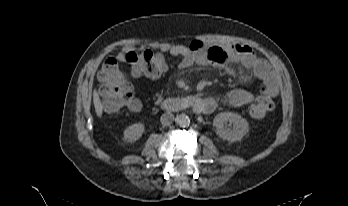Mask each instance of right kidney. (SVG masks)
Here are the masks:
<instances>
[{
  "label": "right kidney",
  "instance_id": "1",
  "mask_svg": "<svg viewBox=\"0 0 348 206\" xmlns=\"http://www.w3.org/2000/svg\"><path fill=\"white\" fill-rule=\"evenodd\" d=\"M145 126L143 123H135L127 127L124 131V141L132 143L140 139L144 133Z\"/></svg>",
  "mask_w": 348,
  "mask_h": 206
}]
</instances>
